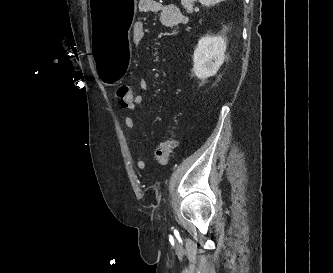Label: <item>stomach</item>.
Here are the masks:
<instances>
[{"mask_svg": "<svg viewBox=\"0 0 333 273\" xmlns=\"http://www.w3.org/2000/svg\"><path fill=\"white\" fill-rule=\"evenodd\" d=\"M136 0H90L93 44L97 81L111 84L124 81L131 64L129 32L135 21Z\"/></svg>", "mask_w": 333, "mask_h": 273, "instance_id": "obj_1", "label": "stomach"}]
</instances>
